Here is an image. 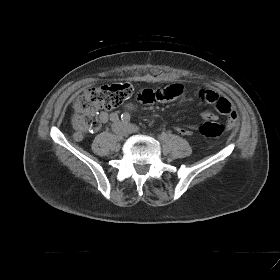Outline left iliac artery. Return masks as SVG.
<instances>
[{
	"label": "left iliac artery",
	"mask_w": 280,
	"mask_h": 280,
	"mask_svg": "<svg viewBox=\"0 0 280 280\" xmlns=\"http://www.w3.org/2000/svg\"><path fill=\"white\" fill-rule=\"evenodd\" d=\"M121 119H122V121L123 122H129L130 121V115H129V113H123L122 115H121Z\"/></svg>",
	"instance_id": "obj_1"
}]
</instances>
